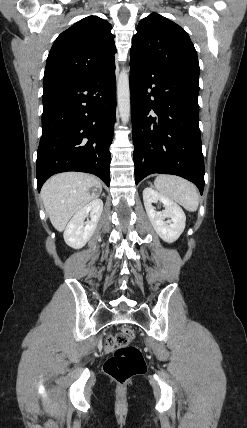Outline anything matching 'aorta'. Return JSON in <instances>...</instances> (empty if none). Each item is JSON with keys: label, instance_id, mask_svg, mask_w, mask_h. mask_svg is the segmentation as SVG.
<instances>
[{"label": "aorta", "instance_id": "obj_1", "mask_svg": "<svg viewBox=\"0 0 247 428\" xmlns=\"http://www.w3.org/2000/svg\"><path fill=\"white\" fill-rule=\"evenodd\" d=\"M117 99L121 120L123 123H127L130 118V87L126 69H123L118 77Z\"/></svg>", "mask_w": 247, "mask_h": 428}]
</instances>
